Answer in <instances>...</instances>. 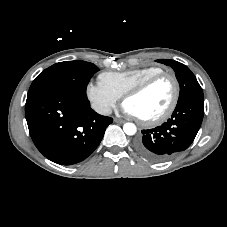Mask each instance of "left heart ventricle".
Instances as JSON below:
<instances>
[{"mask_svg":"<svg viewBox=\"0 0 227 227\" xmlns=\"http://www.w3.org/2000/svg\"><path fill=\"white\" fill-rule=\"evenodd\" d=\"M173 83L169 78H163L154 83L140 95L126 100L137 117L150 119L160 115L170 104L173 97Z\"/></svg>","mask_w":227,"mask_h":227,"instance_id":"b2bd125f","label":"left heart ventricle"}]
</instances>
